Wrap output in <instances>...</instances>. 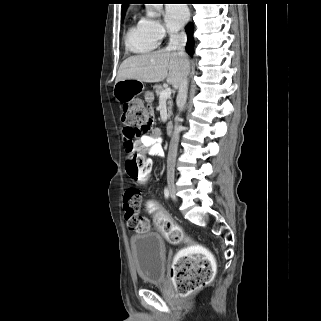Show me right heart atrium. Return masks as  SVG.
<instances>
[{
  "label": "right heart atrium",
  "mask_w": 321,
  "mask_h": 321,
  "mask_svg": "<svg viewBox=\"0 0 321 321\" xmlns=\"http://www.w3.org/2000/svg\"><path fill=\"white\" fill-rule=\"evenodd\" d=\"M146 28L157 39L162 40L167 35V30L161 21L157 19H144Z\"/></svg>",
  "instance_id": "d8ad5b80"
}]
</instances>
